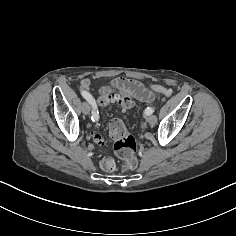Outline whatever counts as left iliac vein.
I'll use <instances>...</instances> for the list:
<instances>
[{
    "instance_id": "4c4485c4",
    "label": "left iliac vein",
    "mask_w": 236,
    "mask_h": 236,
    "mask_svg": "<svg viewBox=\"0 0 236 236\" xmlns=\"http://www.w3.org/2000/svg\"><path fill=\"white\" fill-rule=\"evenodd\" d=\"M147 120L150 125H155L157 122V116L150 115Z\"/></svg>"
}]
</instances>
